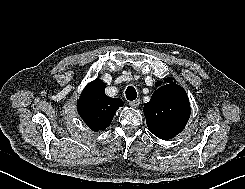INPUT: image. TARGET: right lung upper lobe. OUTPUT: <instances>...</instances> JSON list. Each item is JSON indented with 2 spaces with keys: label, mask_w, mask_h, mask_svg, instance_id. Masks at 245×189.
Listing matches in <instances>:
<instances>
[{
  "label": "right lung upper lobe",
  "mask_w": 245,
  "mask_h": 189,
  "mask_svg": "<svg viewBox=\"0 0 245 189\" xmlns=\"http://www.w3.org/2000/svg\"><path fill=\"white\" fill-rule=\"evenodd\" d=\"M123 106L119 98H111L105 94V83L95 79L84 88L77 102V110L87 126L97 132L106 129L114 117L116 110Z\"/></svg>",
  "instance_id": "right-lung-upper-lobe-1"
}]
</instances>
